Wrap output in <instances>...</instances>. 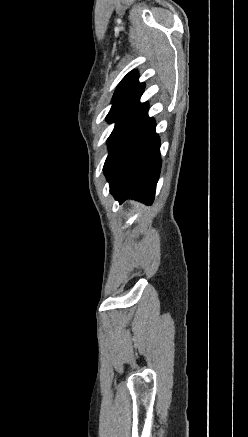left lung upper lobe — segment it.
Returning a JSON list of instances; mask_svg holds the SVG:
<instances>
[{"label":"left lung upper lobe","instance_id":"left-lung-upper-lobe-1","mask_svg":"<svg viewBox=\"0 0 248 437\" xmlns=\"http://www.w3.org/2000/svg\"><path fill=\"white\" fill-rule=\"evenodd\" d=\"M138 77L137 71H131L116 88L112 98V107L106 117L109 123L115 122V128L111 135L134 111L144 104L139 101L144 91V83H139Z\"/></svg>","mask_w":248,"mask_h":437}]
</instances>
